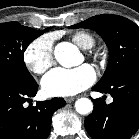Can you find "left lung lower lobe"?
<instances>
[{
  "instance_id": "obj_1",
  "label": "left lung lower lobe",
  "mask_w": 139,
  "mask_h": 139,
  "mask_svg": "<svg viewBox=\"0 0 139 139\" xmlns=\"http://www.w3.org/2000/svg\"><path fill=\"white\" fill-rule=\"evenodd\" d=\"M94 91L110 93L111 104L95 99L85 127L93 139H129L139 128V64L119 74L109 85H95Z\"/></svg>"
}]
</instances>
